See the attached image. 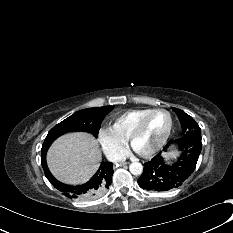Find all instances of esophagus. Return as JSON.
<instances>
[{
  "mask_svg": "<svg viewBox=\"0 0 233 233\" xmlns=\"http://www.w3.org/2000/svg\"><path fill=\"white\" fill-rule=\"evenodd\" d=\"M129 162H126V161H121L120 162V165H125V164H128Z\"/></svg>",
  "mask_w": 233,
  "mask_h": 233,
  "instance_id": "34e87169",
  "label": "esophagus"
}]
</instances>
